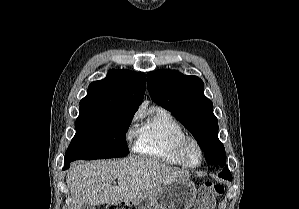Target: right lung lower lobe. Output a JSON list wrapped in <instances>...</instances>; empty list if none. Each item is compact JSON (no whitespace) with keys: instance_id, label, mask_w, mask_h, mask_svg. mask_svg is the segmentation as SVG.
<instances>
[{"instance_id":"obj_1","label":"right lung lower lobe","mask_w":299,"mask_h":209,"mask_svg":"<svg viewBox=\"0 0 299 209\" xmlns=\"http://www.w3.org/2000/svg\"><path fill=\"white\" fill-rule=\"evenodd\" d=\"M71 161H64L63 169L69 168Z\"/></svg>"}]
</instances>
